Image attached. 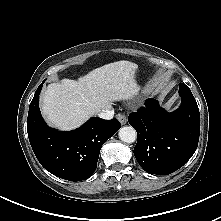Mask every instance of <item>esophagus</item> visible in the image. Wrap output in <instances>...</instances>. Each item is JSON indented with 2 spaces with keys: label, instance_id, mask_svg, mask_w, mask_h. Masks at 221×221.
Listing matches in <instances>:
<instances>
[{
  "label": "esophagus",
  "instance_id": "1",
  "mask_svg": "<svg viewBox=\"0 0 221 221\" xmlns=\"http://www.w3.org/2000/svg\"><path fill=\"white\" fill-rule=\"evenodd\" d=\"M116 118L118 119V121H119L122 125L126 124V122H127L126 116H125L124 114H122V113L117 114V115H116Z\"/></svg>",
  "mask_w": 221,
  "mask_h": 221
}]
</instances>
